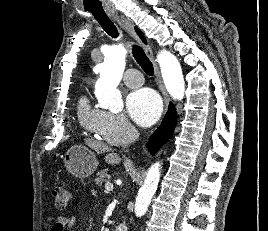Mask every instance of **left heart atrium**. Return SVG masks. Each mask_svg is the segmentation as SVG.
<instances>
[{
    "instance_id": "obj_1",
    "label": "left heart atrium",
    "mask_w": 268,
    "mask_h": 231,
    "mask_svg": "<svg viewBox=\"0 0 268 231\" xmlns=\"http://www.w3.org/2000/svg\"><path fill=\"white\" fill-rule=\"evenodd\" d=\"M126 111L132 121L148 127L161 116L162 103L158 94L149 88L132 91L126 98Z\"/></svg>"
}]
</instances>
